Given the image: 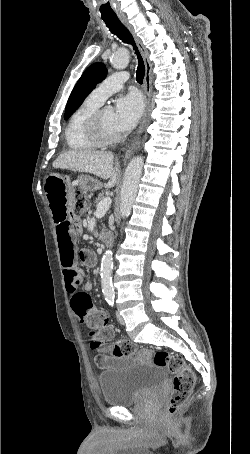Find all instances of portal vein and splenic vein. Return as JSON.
<instances>
[{
  "instance_id": "1",
  "label": "portal vein and splenic vein",
  "mask_w": 250,
  "mask_h": 454,
  "mask_svg": "<svg viewBox=\"0 0 250 454\" xmlns=\"http://www.w3.org/2000/svg\"><path fill=\"white\" fill-rule=\"evenodd\" d=\"M111 203H112V200L110 197H106V198L102 199L97 204V209H96L95 215L99 216V215L105 214L108 211V209L110 208Z\"/></svg>"
}]
</instances>
